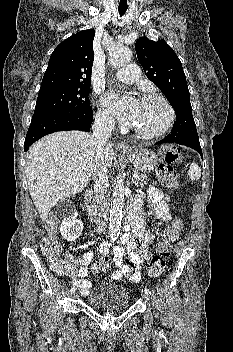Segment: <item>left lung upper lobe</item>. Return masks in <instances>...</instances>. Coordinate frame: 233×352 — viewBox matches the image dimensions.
Here are the masks:
<instances>
[{
  "label": "left lung upper lobe",
  "mask_w": 233,
  "mask_h": 352,
  "mask_svg": "<svg viewBox=\"0 0 233 352\" xmlns=\"http://www.w3.org/2000/svg\"><path fill=\"white\" fill-rule=\"evenodd\" d=\"M135 49L146 76L174 107L176 121L171 135H197L186 77L174 50L163 39L152 41L147 37L139 38Z\"/></svg>",
  "instance_id": "5c2ea615"
}]
</instances>
